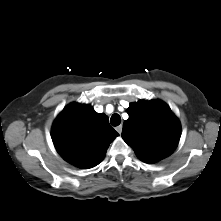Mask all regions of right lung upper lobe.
Instances as JSON below:
<instances>
[{"instance_id":"cb5924a9","label":"right lung upper lobe","mask_w":221,"mask_h":221,"mask_svg":"<svg viewBox=\"0 0 221 221\" xmlns=\"http://www.w3.org/2000/svg\"><path fill=\"white\" fill-rule=\"evenodd\" d=\"M117 136L109 125L108 116L97 113L87 104L71 103L58 115L52 127L57 152L80 168L98 165Z\"/></svg>"}]
</instances>
